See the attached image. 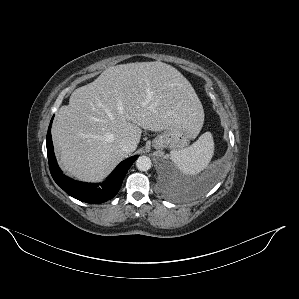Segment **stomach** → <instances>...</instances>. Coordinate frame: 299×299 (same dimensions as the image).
Wrapping results in <instances>:
<instances>
[{"instance_id": "stomach-1", "label": "stomach", "mask_w": 299, "mask_h": 299, "mask_svg": "<svg viewBox=\"0 0 299 299\" xmlns=\"http://www.w3.org/2000/svg\"><path fill=\"white\" fill-rule=\"evenodd\" d=\"M193 138L184 124H179L166 129L163 133L155 137L152 146L155 149L170 148L173 150L182 149Z\"/></svg>"}]
</instances>
